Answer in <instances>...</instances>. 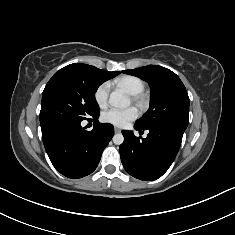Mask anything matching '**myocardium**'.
Instances as JSON below:
<instances>
[{
  "label": "myocardium",
  "instance_id": "obj_1",
  "mask_svg": "<svg viewBox=\"0 0 235 235\" xmlns=\"http://www.w3.org/2000/svg\"><path fill=\"white\" fill-rule=\"evenodd\" d=\"M134 100H135L136 102H139V103L141 102V101H140V98L137 97V96H134Z\"/></svg>",
  "mask_w": 235,
  "mask_h": 235
}]
</instances>
